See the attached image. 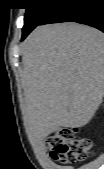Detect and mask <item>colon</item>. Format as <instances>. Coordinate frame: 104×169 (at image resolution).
Instances as JSON below:
<instances>
[{"mask_svg":"<svg viewBox=\"0 0 104 169\" xmlns=\"http://www.w3.org/2000/svg\"><path fill=\"white\" fill-rule=\"evenodd\" d=\"M77 130L62 128L46 139L53 160L68 164L87 159L92 155V142L76 137Z\"/></svg>","mask_w":104,"mask_h":169,"instance_id":"1","label":"colon"}]
</instances>
